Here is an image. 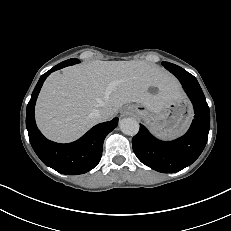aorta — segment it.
<instances>
[{
	"label": "aorta",
	"instance_id": "1",
	"mask_svg": "<svg viewBox=\"0 0 231 231\" xmlns=\"http://www.w3.org/2000/svg\"><path fill=\"white\" fill-rule=\"evenodd\" d=\"M121 131L129 136H134L139 132V123L132 117L123 118L119 122Z\"/></svg>",
	"mask_w": 231,
	"mask_h": 231
}]
</instances>
